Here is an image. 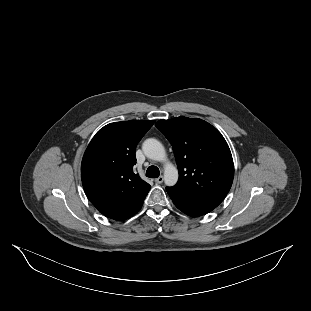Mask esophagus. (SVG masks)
Returning a JSON list of instances; mask_svg holds the SVG:
<instances>
[{"instance_id":"obj_1","label":"esophagus","mask_w":311,"mask_h":311,"mask_svg":"<svg viewBox=\"0 0 311 311\" xmlns=\"http://www.w3.org/2000/svg\"><path fill=\"white\" fill-rule=\"evenodd\" d=\"M155 182L160 184L163 182V176H159L157 179H155Z\"/></svg>"}]
</instances>
